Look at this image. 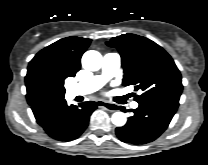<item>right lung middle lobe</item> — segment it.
Wrapping results in <instances>:
<instances>
[{
  "mask_svg": "<svg viewBox=\"0 0 208 165\" xmlns=\"http://www.w3.org/2000/svg\"><path fill=\"white\" fill-rule=\"evenodd\" d=\"M62 74L42 73L37 69L28 70L25 77L27 97L33 99H48L54 96H64V80Z\"/></svg>",
  "mask_w": 208,
  "mask_h": 165,
  "instance_id": "1",
  "label": "right lung middle lobe"
}]
</instances>
